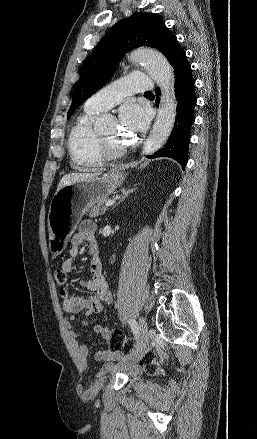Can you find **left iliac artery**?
<instances>
[{"mask_svg": "<svg viewBox=\"0 0 257 439\" xmlns=\"http://www.w3.org/2000/svg\"><path fill=\"white\" fill-rule=\"evenodd\" d=\"M130 326H131V329H132L133 334H134L135 337L137 338V337H138V334H139V327H138L137 322H136L135 320H131V321H130Z\"/></svg>", "mask_w": 257, "mask_h": 439, "instance_id": "44dca946", "label": "left iliac artery"}]
</instances>
